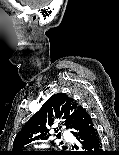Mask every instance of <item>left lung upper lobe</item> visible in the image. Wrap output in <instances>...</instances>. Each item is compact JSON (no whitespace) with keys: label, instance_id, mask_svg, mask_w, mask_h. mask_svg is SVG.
<instances>
[{"label":"left lung upper lobe","instance_id":"obj_1","mask_svg":"<svg viewBox=\"0 0 119 155\" xmlns=\"http://www.w3.org/2000/svg\"><path fill=\"white\" fill-rule=\"evenodd\" d=\"M77 109V103L66 94L52 95L16 135L12 155H71L68 151L26 152L22 149L48 139L49 127L57 122L66 128L74 129ZM60 128L61 126L55 127V132H58ZM59 135L60 133L57 136Z\"/></svg>","mask_w":119,"mask_h":155}]
</instances>
